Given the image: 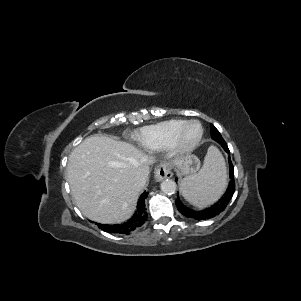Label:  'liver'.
<instances>
[{"label":"liver","mask_w":301,"mask_h":301,"mask_svg":"<svg viewBox=\"0 0 301 301\" xmlns=\"http://www.w3.org/2000/svg\"><path fill=\"white\" fill-rule=\"evenodd\" d=\"M153 162V157L129 143L98 135L87 137L71 152L67 164V181L77 207L96 222L126 221L144 187L137 188L134 178L145 174L148 181Z\"/></svg>","instance_id":"6515ba94"}]
</instances>
